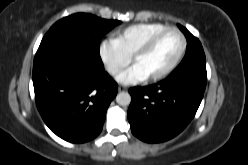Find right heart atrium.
<instances>
[{"label":"right heart atrium","mask_w":248,"mask_h":165,"mask_svg":"<svg viewBox=\"0 0 248 165\" xmlns=\"http://www.w3.org/2000/svg\"><path fill=\"white\" fill-rule=\"evenodd\" d=\"M99 56L106 71L116 77L131 63L129 56L113 39L103 40L99 46Z\"/></svg>","instance_id":"obj_1"}]
</instances>
